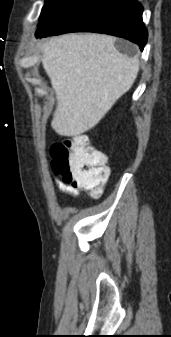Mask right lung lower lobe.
<instances>
[{
    "instance_id": "right-lung-lower-lobe-1",
    "label": "right lung lower lobe",
    "mask_w": 171,
    "mask_h": 337,
    "mask_svg": "<svg viewBox=\"0 0 171 337\" xmlns=\"http://www.w3.org/2000/svg\"><path fill=\"white\" fill-rule=\"evenodd\" d=\"M137 0H71L52 20L38 27L36 37L68 32H98L126 38L143 50L147 29Z\"/></svg>"
}]
</instances>
